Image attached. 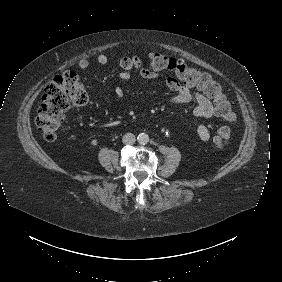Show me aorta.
Here are the masks:
<instances>
[{
  "mask_svg": "<svg viewBox=\"0 0 282 282\" xmlns=\"http://www.w3.org/2000/svg\"><path fill=\"white\" fill-rule=\"evenodd\" d=\"M137 142L140 145H146L149 142V135L145 132H141L137 136Z\"/></svg>",
  "mask_w": 282,
  "mask_h": 282,
  "instance_id": "obj_1",
  "label": "aorta"
}]
</instances>
